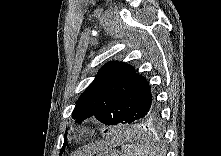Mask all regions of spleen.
Returning <instances> with one entry per match:
<instances>
[{
	"instance_id": "obj_1",
	"label": "spleen",
	"mask_w": 221,
	"mask_h": 156,
	"mask_svg": "<svg viewBox=\"0 0 221 156\" xmlns=\"http://www.w3.org/2000/svg\"><path fill=\"white\" fill-rule=\"evenodd\" d=\"M125 156H156V153L144 145H126L123 147Z\"/></svg>"
}]
</instances>
